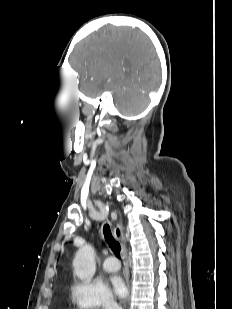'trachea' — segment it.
Here are the masks:
<instances>
[{"mask_svg": "<svg viewBox=\"0 0 232 309\" xmlns=\"http://www.w3.org/2000/svg\"><path fill=\"white\" fill-rule=\"evenodd\" d=\"M103 233L113 253L116 255L117 258H120V250H121L120 243L116 241L114 237L112 236V233H111V230L108 224L104 225Z\"/></svg>", "mask_w": 232, "mask_h": 309, "instance_id": "1", "label": "trachea"}]
</instances>
